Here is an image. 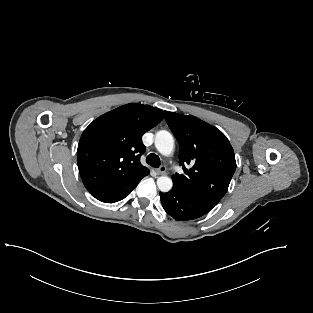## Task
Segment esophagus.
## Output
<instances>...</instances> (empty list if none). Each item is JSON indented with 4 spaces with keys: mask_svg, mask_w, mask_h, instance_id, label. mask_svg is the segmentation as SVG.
Returning a JSON list of instances; mask_svg holds the SVG:
<instances>
[{
    "mask_svg": "<svg viewBox=\"0 0 313 313\" xmlns=\"http://www.w3.org/2000/svg\"><path fill=\"white\" fill-rule=\"evenodd\" d=\"M158 175H163L166 173V167L165 166H160L157 170H156Z\"/></svg>",
    "mask_w": 313,
    "mask_h": 313,
    "instance_id": "34e87169",
    "label": "esophagus"
}]
</instances>
